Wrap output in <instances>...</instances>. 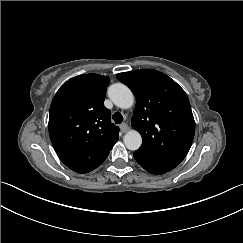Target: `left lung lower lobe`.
Returning a JSON list of instances; mask_svg holds the SVG:
<instances>
[{"instance_id":"obj_1","label":"left lung lower lobe","mask_w":243,"mask_h":243,"mask_svg":"<svg viewBox=\"0 0 243 243\" xmlns=\"http://www.w3.org/2000/svg\"><path fill=\"white\" fill-rule=\"evenodd\" d=\"M136 161L148 172L160 175L174 169L177 164L162 162L141 151L134 152Z\"/></svg>"}]
</instances>
